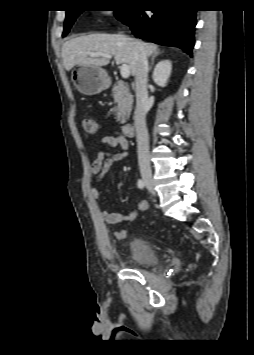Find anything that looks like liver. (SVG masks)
Here are the masks:
<instances>
[{"mask_svg": "<svg viewBox=\"0 0 254 355\" xmlns=\"http://www.w3.org/2000/svg\"><path fill=\"white\" fill-rule=\"evenodd\" d=\"M158 46L145 43L138 39L120 34H90L73 38L62 46V59L65 70L70 71L76 65H94L97 67L108 65L105 57H91V52H101L114 55L117 65L127 64L131 74L135 75L137 58L140 53L146 57L157 52Z\"/></svg>", "mask_w": 254, "mask_h": 355, "instance_id": "obj_1", "label": "liver"}]
</instances>
